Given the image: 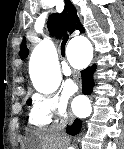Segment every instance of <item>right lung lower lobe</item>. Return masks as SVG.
I'll return each mask as SVG.
<instances>
[{"mask_svg": "<svg viewBox=\"0 0 124 149\" xmlns=\"http://www.w3.org/2000/svg\"><path fill=\"white\" fill-rule=\"evenodd\" d=\"M80 130H81V121L77 118L75 119V121L71 126L67 127L66 132L70 135L75 136L77 133L80 132Z\"/></svg>", "mask_w": 124, "mask_h": 149, "instance_id": "right-lung-lower-lobe-1", "label": "right lung lower lobe"}]
</instances>
